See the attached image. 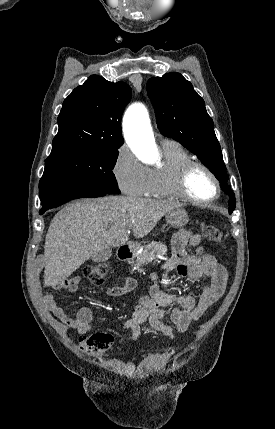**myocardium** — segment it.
Instances as JSON below:
<instances>
[{"label": "myocardium", "mask_w": 275, "mask_h": 429, "mask_svg": "<svg viewBox=\"0 0 275 429\" xmlns=\"http://www.w3.org/2000/svg\"><path fill=\"white\" fill-rule=\"evenodd\" d=\"M197 168L204 170L213 179V181L215 183V187H216L215 195L209 199L199 200V199L194 198L189 193L188 179H189L192 171L197 169ZM174 189H175L177 195L181 199H183L189 203H192L194 205L203 206V205L211 204V203H213L219 199L220 194H221V183H220V180H219L218 176L216 175V173L210 167H208L206 164H204L203 162L197 161V160H189V161L185 162L184 164H182L180 166V168L177 170V173L175 175V180H174Z\"/></svg>", "instance_id": "1"}]
</instances>
